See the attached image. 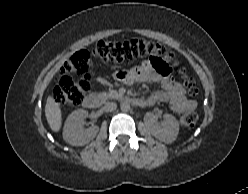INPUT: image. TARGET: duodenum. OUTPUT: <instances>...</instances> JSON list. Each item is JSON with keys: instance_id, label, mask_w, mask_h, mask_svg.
Segmentation results:
<instances>
[{"instance_id": "410a0bca", "label": "duodenum", "mask_w": 248, "mask_h": 194, "mask_svg": "<svg viewBox=\"0 0 248 194\" xmlns=\"http://www.w3.org/2000/svg\"><path fill=\"white\" fill-rule=\"evenodd\" d=\"M124 101L138 107H145L148 105V102L146 100L138 99V98H124ZM100 102H101V96L96 93H91L84 98L83 106L88 109H94L100 104Z\"/></svg>"}]
</instances>
